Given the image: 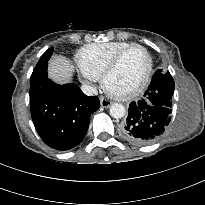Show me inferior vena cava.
I'll list each match as a JSON object with an SVG mask.
<instances>
[{"label": "inferior vena cava", "instance_id": "1", "mask_svg": "<svg viewBox=\"0 0 205 205\" xmlns=\"http://www.w3.org/2000/svg\"><path fill=\"white\" fill-rule=\"evenodd\" d=\"M81 90L87 96H93L98 94L97 89L90 85H82Z\"/></svg>", "mask_w": 205, "mask_h": 205}]
</instances>
